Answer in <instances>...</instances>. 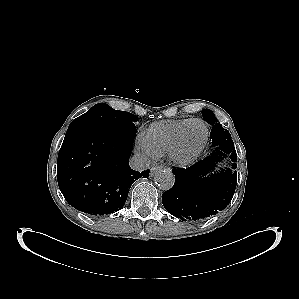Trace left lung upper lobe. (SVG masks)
<instances>
[{"mask_svg": "<svg viewBox=\"0 0 299 299\" xmlns=\"http://www.w3.org/2000/svg\"><path fill=\"white\" fill-rule=\"evenodd\" d=\"M203 118L210 124L213 125L211 130L212 146H218L221 143H230L232 137L228 130L223 129L220 123H216V118L213 112L209 109L202 110Z\"/></svg>", "mask_w": 299, "mask_h": 299, "instance_id": "5c2ea615", "label": "left lung upper lobe"}]
</instances>
